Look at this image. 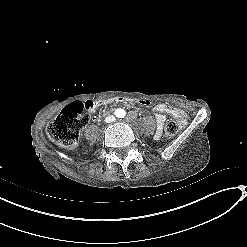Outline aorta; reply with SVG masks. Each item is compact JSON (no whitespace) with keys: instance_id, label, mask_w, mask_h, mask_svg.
<instances>
[{"instance_id":"obj_1","label":"aorta","mask_w":247,"mask_h":247,"mask_svg":"<svg viewBox=\"0 0 247 247\" xmlns=\"http://www.w3.org/2000/svg\"><path fill=\"white\" fill-rule=\"evenodd\" d=\"M123 115H124V111L121 110V109H119V110L117 111V116H118V117H122Z\"/></svg>"}]
</instances>
